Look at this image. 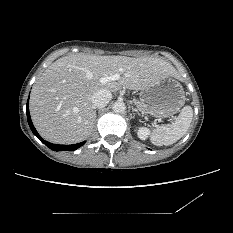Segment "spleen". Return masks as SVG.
<instances>
[{
	"label": "spleen",
	"mask_w": 233,
	"mask_h": 233,
	"mask_svg": "<svg viewBox=\"0 0 233 233\" xmlns=\"http://www.w3.org/2000/svg\"><path fill=\"white\" fill-rule=\"evenodd\" d=\"M192 117V108L190 106L183 107L173 123L153 130L150 138L152 144L156 146H168L177 142L187 133Z\"/></svg>",
	"instance_id": "1"
}]
</instances>
